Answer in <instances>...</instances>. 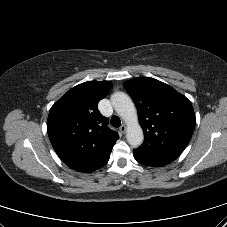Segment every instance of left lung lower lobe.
<instances>
[{"instance_id":"0a47b994","label":"left lung lower lobe","mask_w":227,"mask_h":227,"mask_svg":"<svg viewBox=\"0 0 227 227\" xmlns=\"http://www.w3.org/2000/svg\"><path fill=\"white\" fill-rule=\"evenodd\" d=\"M133 155L139 163L154 167L164 166L177 158L159 151L149 152L140 147L133 150Z\"/></svg>"}]
</instances>
